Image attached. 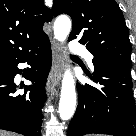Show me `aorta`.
<instances>
[{
    "mask_svg": "<svg viewBox=\"0 0 136 136\" xmlns=\"http://www.w3.org/2000/svg\"><path fill=\"white\" fill-rule=\"evenodd\" d=\"M71 30V20L66 15H61L54 22V36L64 42ZM76 108L75 81L70 70L65 71L62 80L61 98L59 102V116L62 120H69Z\"/></svg>",
    "mask_w": 136,
    "mask_h": 136,
    "instance_id": "obj_1",
    "label": "aorta"
}]
</instances>
